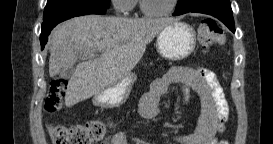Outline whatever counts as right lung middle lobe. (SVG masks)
<instances>
[{"mask_svg":"<svg viewBox=\"0 0 273 144\" xmlns=\"http://www.w3.org/2000/svg\"><path fill=\"white\" fill-rule=\"evenodd\" d=\"M74 4H95L109 8L110 0H47L43 19L47 18V16L57 7Z\"/></svg>","mask_w":273,"mask_h":144,"instance_id":"dd1d6c3e","label":"right lung middle lobe"}]
</instances>
